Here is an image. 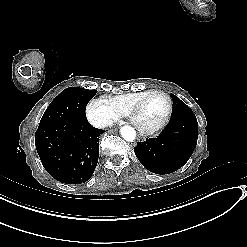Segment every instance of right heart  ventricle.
<instances>
[{
    "instance_id": "right-heart-ventricle-1",
    "label": "right heart ventricle",
    "mask_w": 247,
    "mask_h": 247,
    "mask_svg": "<svg viewBox=\"0 0 247 247\" xmlns=\"http://www.w3.org/2000/svg\"><path fill=\"white\" fill-rule=\"evenodd\" d=\"M150 91L151 90H145L141 92L124 94L119 97L104 96L102 98L108 100L113 107H123V106L130 107V106H134V104L139 100L142 99L145 100L147 98L146 97L147 94Z\"/></svg>"
}]
</instances>
